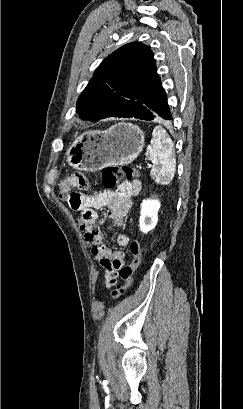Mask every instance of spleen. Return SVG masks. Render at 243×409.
<instances>
[{"label": "spleen", "mask_w": 243, "mask_h": 409, "mask_svg": "<svg viewBox=\"0 0 243 409\" xmlns=\"http://www.w3.org/2000/svg\"><path fill=\"white\" fill-rule=\"evenodd\" d=\"M152 137L146 151L149 160L153 162L150 176L156 183L166 185L171 182L176 171L173 141L161 126L153 129Z\"/></svg>", "instance_id": "3e777b00"}]
</instances>
